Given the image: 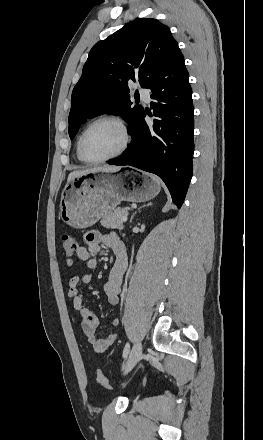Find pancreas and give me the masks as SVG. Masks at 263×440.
<instances>
[{
	"label": "pancreas",
	"mask_w": 263,
	"mask_h": 440,
	"mask_svg": "<svg viewBox=\"0 0 263 440\" xmlns=\"http://www.w3.org/2000/svg\"><path fill=\"white\" fill-rule=\"evenodd\" d=\"M125 215H128V209L126 207L117 208L102 218L101 225L106 228L122 230L124 225L121 217Z\"/></svg>",
	"instance_id": "1"
}]
</instances>
